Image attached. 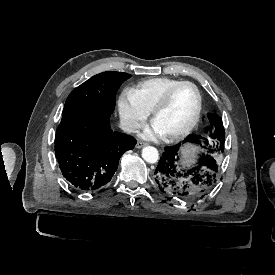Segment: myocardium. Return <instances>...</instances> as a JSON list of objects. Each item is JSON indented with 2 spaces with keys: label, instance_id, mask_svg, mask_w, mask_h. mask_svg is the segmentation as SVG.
<instances>
[{
  "label": "myocardium",
  "instance_id": "myocardium-1",
  "mask_svg": "<svg viewBox=\"0 0 275 275\" xmlns=\"http://www.w3.org/2000/svg\"><path fill=\"white\" fill-rule=\"evenodd\" d=\"M183 84H189L194 87V89L196 91V95H197V107H196L194 116L192 117L190 122L184 128L166 135L170 139H177V138L183 137V136L187 135L188 133H190V131L195 127V125L199 121V118H200L201 112H202L203 98H202V93H201L199 87L194 82H192L190 80H181V81H177L174 84H172L171 86H169L167 88V90L164 92V94L162 95V97L160 98V100L158 101V103L156 104V106L154 107V109L152 111V122H154L156 115L159 112H161L168 105L169 100H170L174 90Z\"/></svg>",
  "mask_w": 275,
  "mask_h": 275
}]
</instances>
